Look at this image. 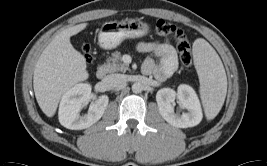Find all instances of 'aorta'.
Masks as SVG:
<instances>
[{
	"label": "aorta",
	"mask_w": 267,
	"mask_h": 166,
	"mask_svg": "<svg viewBox=\"0 0 267 166\" xmlns=\"http://www.w3.org/2000/svg\"><path fill=\"white\" fill-rule=\"evenodd\" d=\"M143 90V85L139 82H135L133 85H132V91L134 93H140L142 92Z\"/></svg>",
	"instance_id": "obj_1"
}]
</instances>
